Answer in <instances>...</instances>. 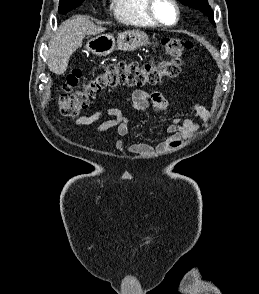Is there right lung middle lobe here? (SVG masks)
<instances>
[{"label": "right lung middle lobe", "mask_w": 259, "mask_h": 294, "mask_svg": "<svg viewBox=\"0 0 259 294\" xmlns=\"http://www.w3.org/2000/svg\"><path fill=\"white\" fill-rule=\"evenodd\" d=\"M84 0H60L59 10L60 14H66L68 11L75 9L80 6Z\"/></svg>", "instance_id": "dd1d6c3e"}]
</instances>
